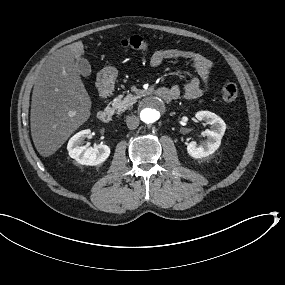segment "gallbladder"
<instances>
[{
    "label": "gallbladder",
    "instance_id": "1",
    "mask_svg": "<svg viewBox=\"0 0 285 285\" xmlns=\"http://www.w3.org/2000/svg\"><path fill=\"white\" fill-rule=\"evenodd\" d=\"M76 66L79 73L83 77H88L91 74V65L89 64L87 59L80 58L76 61Z\"/></svg>",
    "mask_w": 285,
    "mask_h": 285
}]
</instances>
